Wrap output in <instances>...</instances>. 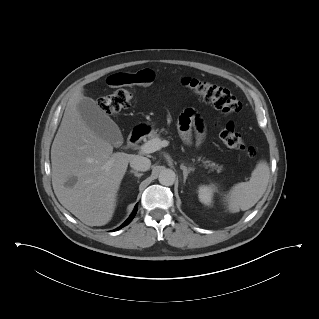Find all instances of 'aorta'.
<instances>
[{"instance_id":"aorta-1","label":"aorta","mask_w":319,"mask_h":319,"mask_svg":"<svg viewBox=\"0 0 319 319\" xmlns=\"http://www.w3.org/2000/svg\"><path fill=\"white\" fill-rule=\"evenodd\" d=\"M175 172L171 169H164L159 174V182L165 186H171L175 182Z\"/></svg>"}]
</instances>
